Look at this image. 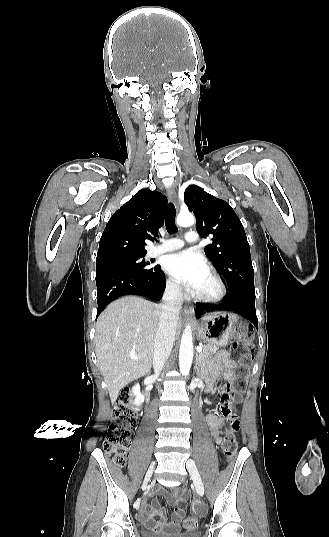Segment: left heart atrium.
<instances>
[{"label":"left heart atrium","instance_id":"1","mask_svg":"<svg viewBox=\"0 0 329 537\" xmlns=\"http://www.w3.org/2000/svg\"><path fill=\"white\" fill-rule=\"evenodd\" d=\"M163 267L176 281L192 291H197L208 273L205 259L195 250H184L166 256Z\"/></svg>","mask_w":329,"mask_h":537}]
</instances>
